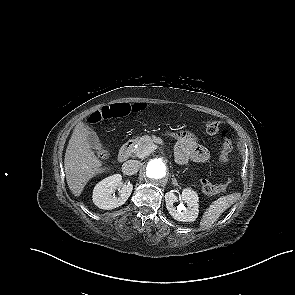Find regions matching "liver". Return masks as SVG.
I'll return each mask as SVG.
<instances>
[{
  "instance_id": "obj_1",
  "label": "liver",
  "mask_w": 295,
  "mask_h": 295,
  "mask_svg": "<svg viewBox=\"0 0 295 295\" xmlns=\"http://www.w3.org/2000/svg\"><path fill=\"white\" fill-rule=\"evenodd\" d=\"M88 132L78 127L74 130L66 149L64 168L66 181L74 196L79 197L87 182L109 170L95 155L88 142Z\"/></svg>"
}]
</instances>
